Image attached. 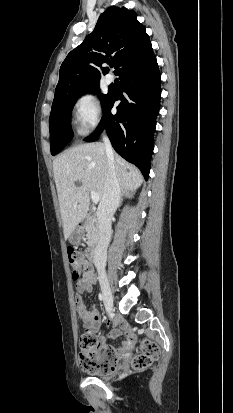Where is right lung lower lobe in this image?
Instances as JSON below:
<instances>
[{"label": "right lung lower lobe", "instance_id": "obj_1", "mask_svg": "<svg viewBox=\"0 0 233 413\" xmlns=\"http://www.w3.org/2000/svg\"><path fill=\"white\" fill-rule=\"evenodd\" d=\"M115 74L122 82L121 94L110 92L101 123L86 141H95L105 127L116 152L135 164L147 180L161 96V75L151 43L124 61ZM117 100L121 102L112 115Z\"/></svg>", "mask_w": 233, "mask_h": 413}]
</instances>
